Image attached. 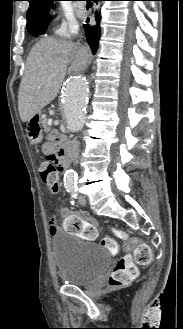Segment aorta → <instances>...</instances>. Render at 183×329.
I'll use <instances>...</instances> for the list:
<instances>
[{
	"mask_svg": "<svg viewBox=\"0 0 183 329\" xmlns=\"http://www.w3.org/2000/svg\"><path fill=\"white\" fill-rule=\"evenodd\" d=\"M89 90L90 84L84 76L71 78L64 87L61 103L66 127L70 132H78L84 126ZM76 178L77 175L74 170H67L64 174V186L66 188L74 187Z\"/></svg>",
	"mask_w": 183,
	"mask_h": 329,
	"instance_id": "1",
	"label": "aorta"
}]
</instances>
